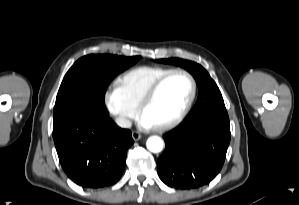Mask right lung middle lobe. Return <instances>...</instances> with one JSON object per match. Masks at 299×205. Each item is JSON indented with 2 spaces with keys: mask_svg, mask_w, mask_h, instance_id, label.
Masks as SVG:
<instances>
[{
  "mask_svg": "<svg viewBox=\"0 0 299 205\" xmlns=\"http://www.w3.org/2000/svg\"><path fill=\"white\" fill-rule=\"evenodd\" d=\"M140 56L87 55L68 70L54 107V124L83 107L105 110L104 96L110 81L135 64Z\"/></svg>",
  "mask_w": 299,
  "mask_h": 205,
  "instance_id": "1",
  "label": "right lung middle lobe"
}]
</instances>
